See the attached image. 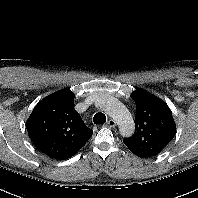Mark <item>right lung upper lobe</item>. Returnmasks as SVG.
Returning a JSON list of instances; mask_svg holds the SVG:
<instances>
[{"label":"right lung upper lobe","mask_w":198,"mask_h":198,"mask_svg":"<svg viewBox=\"0 0 198 198\" xmlns=\"http://www.w3.org/2000/svg\"><path fill=\"white\" fill-rule=\"evenodd\" d=\"M74 97L68 89L59 90L39 101L27 120L31 141L53 159L75 155L93 134L74 109Z\"/></svg>","instance_id":"1"}]
</instances>
